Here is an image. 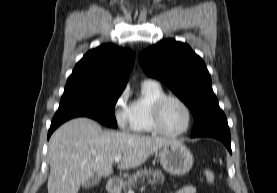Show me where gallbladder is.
I'll return each instance as SVG.
<instances>
[{"label":"gallbladder","instance_id":"obj_1","mask_svg":"<svg viewBox=\"0 0 277 193\" xmlns=\"http://www.w3.org/2000/svg\"><path fill=\"white\" fill-rule=\"evenodd\" d=\"M100 182V177L98 176H93L89 180H86L85 182L82 183V188L89 189L94 186H96Z\"/></svg>","mask_w":277,"mask_h":193}]
</instances>
